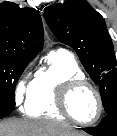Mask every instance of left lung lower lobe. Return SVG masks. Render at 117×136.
Listing matches in <instances>:
<instances>
[{"instance_id":"1","label":"left lung lower lobe","mask_w":117,"mask_h":136,"mask_svg":"<svg viewBox=\"0 0 117 136\" xmlns=\"http://www.w3.org/2000/svg\"><path fill=\"white\" fill-rule=\"evenodd\" d=\"M82 129L94 136H117V109L112 110L98 126Z\"/></svg>"}]
</instances>
